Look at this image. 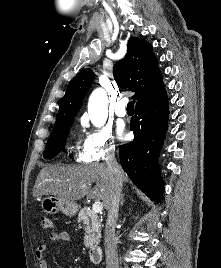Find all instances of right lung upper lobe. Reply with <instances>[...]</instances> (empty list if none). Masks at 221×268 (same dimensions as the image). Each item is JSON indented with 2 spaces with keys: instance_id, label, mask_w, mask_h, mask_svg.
Masks as SVG:
<instances>
[{
  "instance_id": "cb5924a9",
  "label": "right lung upper lobe",
  "mask_w": 221,
  "mask_h": 268,
  "mask_svg": "<svg viewBox=\"0 0 221 268\" xmlns=\"http://www.w3.org/2000/svg\"><path fill=\"white\" fill-rule=\"evenodd\" d=\"M127 48L126 56L114 65L113 75L118 86L135 92L133 98L138 105L163 92L165 85L157 58L147 41L132 37ZM93 79L94 72L91 69H83L75 76L62 98L55 125L74 119Z\"/></svg>"
}]
</instances>
